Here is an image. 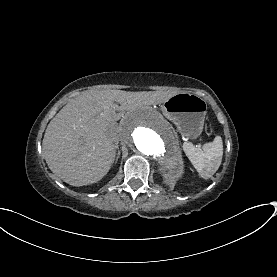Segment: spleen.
Returning <instances> with one entry per match:
<instances>
[{
	"mask_svg": "<svg viewBox=\"0 0 277 277\" xmlns=\"http://www.w3.org/2000/svg\"><path fill=\"white\" fill-rule=\"evenodd\" d=\"M183 150L204 179L211 177L222 161L223 144L220 136H215L212 142L204 143L201 148L186 141L183 143Z\"/></svg>",
	"mask_w": 277,
	"mask_h": 277,
	"instance_id": "3e777b00",
	"label": "spleen"
}]
</instances>
